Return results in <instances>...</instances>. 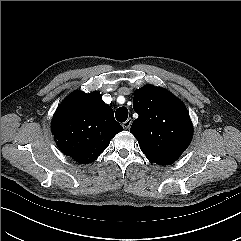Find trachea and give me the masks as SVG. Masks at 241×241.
Wrapping results in <instances>:
<instances>
[{"label": "trachea", "mask_w": 241, "mask_h": 241, "mask_svg": "<svg viewBox=\"0 0 241 241\" xmlns=\"http://www.w3.org/2000/svg\"><path fill=\"white\" fill-rule=\"evenodd\" d=\"M115 117L119 122H125L128 118V109L126 107H119L116 110Z\"/></svg>", "instance_id": "3493384b"}]
</instances>
